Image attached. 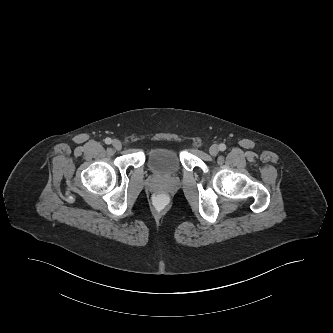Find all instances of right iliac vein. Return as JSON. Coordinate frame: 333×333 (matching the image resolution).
<instances>
[{
  "instance_id": "right-iliac-vein-1",
  "label": "right iliac vein",
  "mask_w": 333,
  "mask_h": 333,
  "mask_svg": "<svg viewBox=\"0 0 333 333\" xmlns=\"http://www.w3.org/2000/svg\"><path fill=\"white\" fill-rule=\"evenodd\" d=\"M112 145L116 150H121L122 148V144L119 140H113Z\"/></svg>"
}]
</instances>
